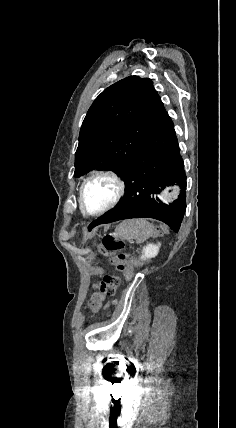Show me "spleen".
Segmentation results:
<instances>
[{
	"label": "spleen",
	"mask_w": 236,
	"mask_h": 428,
	"mask_svg": "<svg viewBox=\"0 0 236 428\" xmlns=\"http://www.w3.org/2000/svg\"><path fill=\"white\" fill-rule=\"evenodd\" d=\"M154 228L143 218L139 220H124L117 228V234L125 240H135L136 244H142L153 236Z\"/></svg>",
	"instance_id": "1"
}]
</instances>
